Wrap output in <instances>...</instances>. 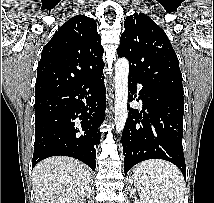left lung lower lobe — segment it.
Returning a JSON list of instances; mask_svg holds the SVG:
<instances>
[{
	"mask_svg": "<svg viewBox=\"0 0 214 203\" xmlns=\"http://www.w3.org/2000/svg\"><path fill=\"white\" fill-rule=\"evenodd\" d=\"M137 78L129 76L128 99L137 92ZM143 102L142 113L129 108L128 119L122 133L124 172L148 159H163L175 164L186 178V165L182 146L183 95L142 84L139 92ZM147 110V113L144 112Z\"/></svg>",
	"mask_w": 214,
	"mask_h": 203,
	"instance_id": "obj_1",
	"label": "left lung lower lobe"
}]
</instances>
